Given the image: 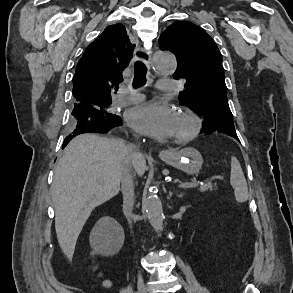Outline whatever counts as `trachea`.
Segmentation results:
<instances>
[{
  "mask_svg": "<svg viewBox=\"0 0 293 293\" xmlns=\"http://www.w3.org/2000/svg\"><path fill=\"white\" fill-rule=\"evenodd\" d=\"M147 67L141 61H136L134 66L133 88H139L146 84Z\"/></svg>",
  "mask_w": 293,
  "mask_h": 293,
  "instance_id": "1",
  "label": "trachea"
}]
</instances>
